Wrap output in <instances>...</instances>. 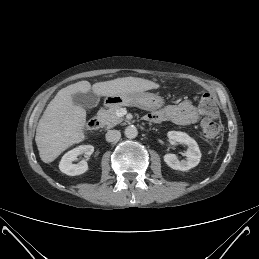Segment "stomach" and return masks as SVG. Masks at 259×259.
I'll return each instance as SVG.
<instances>
[{"label":"stomach","mask_w":259,"mask_h":259,"mask_svg":"<svg viewBox=\"0 0 259 259\" xmlns=\"http://www.w3.org/2000/svg\"><path fill=\"white\" fill-rule=\"evenodd\" d=\"M106 106H136L144 110L153 111L164 105V99L158 94L149 92L124 93L108 96Z\"/></svg>","instance_id":"stomach-1"}]
</instances>
